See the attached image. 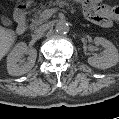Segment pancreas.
<instances>
[{
    "instance_id": "cf45deb5",
    "label": "pancreas",
    "mask_w": 119,
    "mask_h": 119,
    "mask_svg": "<svg viewBox=\"0 0 119 119\" xmlns=\"http://www.w3.org/2000/svg\"><path fill=\"white\" fill-rule=\"evenodd\" d=\"M68 5H69V3L65 0H55V1L49 2L47 7L59 6L60 8H63ZM44 9H46V6H42L39 9L33 10L34 18L31 19L32 23L30 24V29L36 28L38 25H40L41 23H43L45 21V19L42 17V13H43Z\"/></svg>"
}]
</instances>
